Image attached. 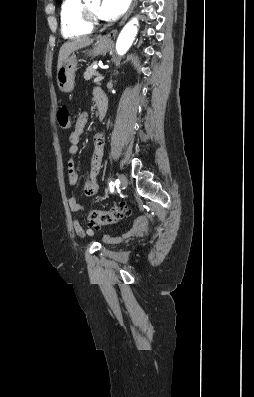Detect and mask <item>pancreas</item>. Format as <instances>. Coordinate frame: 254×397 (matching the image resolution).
Segmentation results:
<instances>
[{"label":"pancreas","mask_w":254,"mask_h":397,"mask_svg":"<svg viewBox=\"0 0 254 397\" xmlns=\"http://www.w3.org/2000/svg\"><path fill=\"white\" fill-rule=\"evenodd\" d=\"M97 75H98V72H96V71L93 69L92 65H91V66L87 67L86 71L84 72V79H85V80H90V79H92L94 76H97Z\"/></svg>","instance_id":"cf45deb5"}]
</instances>
